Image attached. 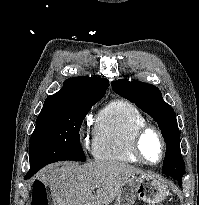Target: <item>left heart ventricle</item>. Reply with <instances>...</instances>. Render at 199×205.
Returning <instances> with one entry per match:
<instances>
[{
	"mask_svg": "<svg viewBox=\"0 0 199 205\" xmlns=\"http://www.w3.org/2000/svg\"><path fill=\"white\" fill-rule=\"evenodd\" d=\"M142 151L151 162H156L161 157V144L154 133L146 134L142 139Z\"/></svg>",
	"mask_w": 199,
	"mask_h": 205,
	"instance_id": "left-heart-ventricle-1",
	"label": "left heart ventricle"
}]
</instances>
